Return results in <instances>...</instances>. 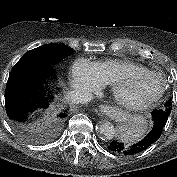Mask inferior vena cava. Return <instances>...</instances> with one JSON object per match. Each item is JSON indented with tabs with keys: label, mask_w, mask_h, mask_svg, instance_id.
Returning a JSON list of instances; mask_svg holds the SVG:
<instances>
[{
	"label": "inferior vena cava",
	"mask_w": 177,
	"mask_h": 177,
	"mask_svg": "<svg viewBox=\"0 0 177 177\" xmlns=\"http://www.w3.org/2000/svg\"><path fill=\"white\" fill-rule=\"evenodd\" d=\"M92 99V94L86 91H71L66 95V100L71 103L86 104Z\"/></svg>",
	"instance_id": "inferior-vena-cava-1"
}]
</instances>
